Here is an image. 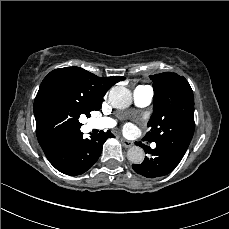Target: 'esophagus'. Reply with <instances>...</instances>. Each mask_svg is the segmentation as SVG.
Wrapping results in <instances>:
<instances>
[{
    "instance_id": "obj_1",
    "label": "esophagus",
    "mask_w": 229,
    "mask_h": 229,
    "mask_svg": "<svg viewBox=\"0 0 229 229\" xmlns=\"http://www.w3.org/2000/svg\"><path fill=\"white\" fill-rule=\"evenodd\" d=\"M120 142H121L122 146L125 148H130L134 144L132 141L126 140L124 138H121Z\"/></svg>"
}]
</instances>
